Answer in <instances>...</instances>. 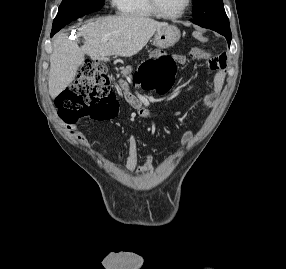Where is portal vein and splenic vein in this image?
<instances>
[{
  "mask_svg": "<svg viewBox=\"0 0 286 269\" xmlns=\"http://www.w3.org/2000/svg\"><path fill=\"white\" fill-rule=\"evenodd\" d=\"M107 40H108V38H103V39H102L103 42H105V41H107Z\"/></svg>",
  "mask_w": 286,
  "mask_h": 269,
  "instance_id": "1",
  "label": "portal vein and splenic vein"
}]
</instances>
